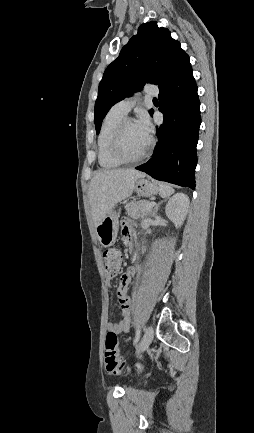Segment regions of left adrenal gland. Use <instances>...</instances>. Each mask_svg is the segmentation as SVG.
Listing matches in <instances>:
<instances>
[{
	"instance_id": "obj_1",
	"label": "left adrenal gland",
	"mask_w": 254,
	"mask_h": 433,
	"mask_svg": "<svg viewBox=\"0 0 254 433\" xmlns=\"http://www.w3.org/2000/svg\"><path fill=\"white\" fill-rule=\"evenodd\" d=\"M163 202H164V201L162 200V201L158 202V204H156V206H155V208H154V211H153V214H154V215L158 212V209H159L160 205H161Z\"/></svg>"
}]
</instances>
